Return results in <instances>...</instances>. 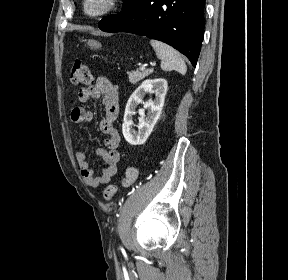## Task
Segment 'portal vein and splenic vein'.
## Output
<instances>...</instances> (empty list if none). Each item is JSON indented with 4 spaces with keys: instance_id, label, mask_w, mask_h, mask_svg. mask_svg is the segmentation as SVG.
Returning a JSON list of instances; mask_svg holds the SVG:
<instances>
[{
    "instance_id": "18ae733b",
    "label": "portal vein and splenic vein",
    "mask_w": 288,
    "mask_h": 280,
    "mask_svg": "<svg viewBox=\"0 0 288 280\" xmlns=\"http://www.w3.org/2000/svg\"><path fill=\"white\" fill-rule=\"evenodd\" d=\"M150 65H151V66H154L155 64L151 63ZM145 66H146V65L141 66V67H140V70H141V71L145 70Z\"/></svg>"
}]
</instances>
